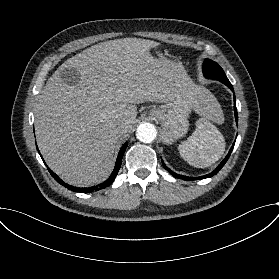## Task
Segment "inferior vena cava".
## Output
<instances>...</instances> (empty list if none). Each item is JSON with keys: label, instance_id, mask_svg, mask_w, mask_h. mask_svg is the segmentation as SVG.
I'll return each instance as SVG.
<instances>
[{"label": "inferior vena cava", "instance_id": "1", "mask_svg": "<svg viewBox=\"0 0 279 279\" xmlns=\"http://www.w3.org/2000/svg\"><path fill=\"white\" fill-rule=\"evenodd\" d=\"M126 127H127V122H124L114 130V133L120 136V134L125 130Z\"/></svg>", "mask_w": 279, "mask_h": 279}]
</instances>
